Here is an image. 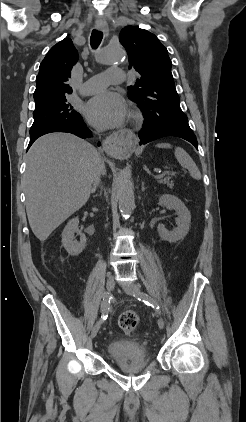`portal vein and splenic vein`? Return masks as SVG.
I'll return each mask as SVG.
<instances>
[{
  "label": "portal vein and splenic vein",
  "mask_w": 246,
  "mask_h": 422,
  "mask_svg": "<svg viewBox=\"0 0 246 422\" xmlns=\"http://www.w3.org/2000/svg\"><path fill=\"white\" fill-rule=\"evenodd\" d=\"M165 174H166V173H162L161 175H157V176H155V178H161V177H163Z\"/></svg>",
  "instance_id": "18ae733b"
}]
</instances>
